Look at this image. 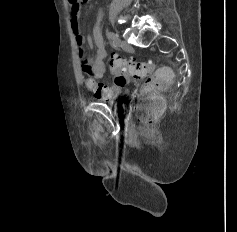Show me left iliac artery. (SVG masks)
<instances>
[{"mask_svg": "<svg viewBox=\"0 0 237 232\" xmlns=\"http://www.w3.org/2000/svg\"><path fill=\"white\" fill-rule=\"evenodd\" d=\"M107 37L110 38V39H113V40L117 39V36L113 32H108Z\"/></svg>", "mask_w": 237, "mask_h": 232, "instance_id": "obj_1", "label": "left iliac artery"}]
</instances>
